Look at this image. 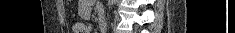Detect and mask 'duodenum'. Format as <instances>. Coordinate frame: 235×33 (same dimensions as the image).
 Returning <instances> with one entry per match:
<instances>
[{
  "label": "duodenum",
  "instance_id": "410a0bca",
  "mask_svg": "<svg viewBox=\"0 0 235 33\" xmlns=\"http://www.w3.org/2000/svg\"><path fill=\"white\" fill-rule=\"evenodd\" d=\"M99 26H100V29H101L102 32L105 31V29H106V19H105L103 14L99 15Z\"/></svg>",
  "mask_w": 235,
  "mask_h": 33
}]
</instances>
